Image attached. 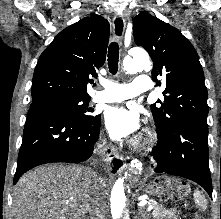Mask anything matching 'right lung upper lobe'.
<instances>
[{
	"label": "right lung upper lobe",
	"mask_w": 221,
	"mask_h": 219,
	"mask_svg": "<svg viewBox=\"0 0 221 219\" xmlns=\"http://www.w3.org/2000/svg\"><path fill=\"white\" fill-rule=\"evenodd\" d=\"M109 24L96 14L61 31L41 54L33 75L32 102L49 98L88 99L87 84L104 64Z\"/></svg>",
	"instance_id": "obj_1"
}]
</instances>
